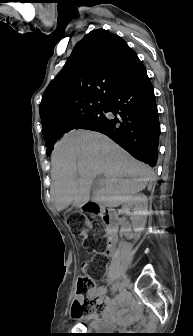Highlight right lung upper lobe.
Here are the masks:
<instances>
[{
    "mask_svg": "<svg viewBox=\"0 0 193 336\" xmlns=\"http://www.w3.org/2000/svg\"><path fill=\"white\" fill-rule=\"evenodd\" d=\"M140 62L118 35L93 30L78 42L40 103L44 140L65 135L74 123L100 108L121 80Z\"/></svg>",
    "mask_w": 193,
    "mask_h": 336,
    "instance_id": "1",
    "label": "right lung upper lobe"
}]
</instances>
